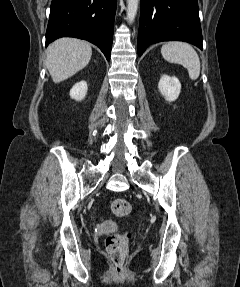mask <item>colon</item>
Masks as SVG:
<instances>
[{
  "label": "colon",
  "mask_w": 240,
  "mask_h": 287,
  "mask_svg": "<svg viewBox=\"0 0 240 287\" xmlns=\"http://www.w3.org/2000/svg\"><path fill=\"white\" fill-rule=\"evenodd\" d=\"M111 211L116 217H124L131 211L130 203L122 198L115 199L111 204ZM130 233L112 234L105 240L106 251L117 270H120L128 256Z\"/></svg>",
  "instance_id": "5ec220e1"
}]
</instances>
